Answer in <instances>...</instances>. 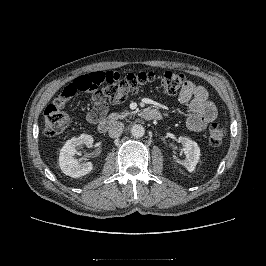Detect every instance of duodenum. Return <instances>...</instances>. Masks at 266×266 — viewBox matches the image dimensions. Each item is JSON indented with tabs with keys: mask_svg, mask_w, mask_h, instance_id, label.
Here are the masks:
<instances>
[{
	"mask_svg": "<svg viewBox=\"0 0 266 266\" xmlns=\"http://www.w3.org/2000/svg\"><path fill=\"white\" fill-rule=\"evenodd\" d=\"M140 117L145 120H160L162 116L156 109L144 108L140 111ZM89 119L91 120V123L97 126L100 133H105L116 123L119 116L116 114L104 116L98 110H91L89 113Z\"/></svg>",
	"mask_w": 266,
	"mask_h": 266,
	"instance_id": "duodenum-1",
	"label": "duodenum"
}]
</instances>
